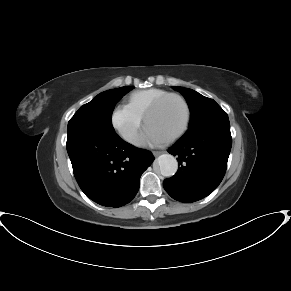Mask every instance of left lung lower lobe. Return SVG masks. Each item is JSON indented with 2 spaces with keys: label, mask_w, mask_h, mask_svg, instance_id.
Segmentation results:
<instances>
[{
  "label": "left lung lower lobe",
  "mask_w": 291,
  "mask_h": 291,
  "mask_svg": "<svg viewBox=\"0 0 291 291\" xmlns=\"http://www.w3.org/2000/svg\"><path fill=\"white\" fill-rule=\"evenodd\" d=\"M232 145L229 120L184 135L168 152L177 156L176 175L163 186L175 200L190 203L208 196L222 181Z\"/></svg>",
  "instance_id": "0a47b994"
}]
</instances>
